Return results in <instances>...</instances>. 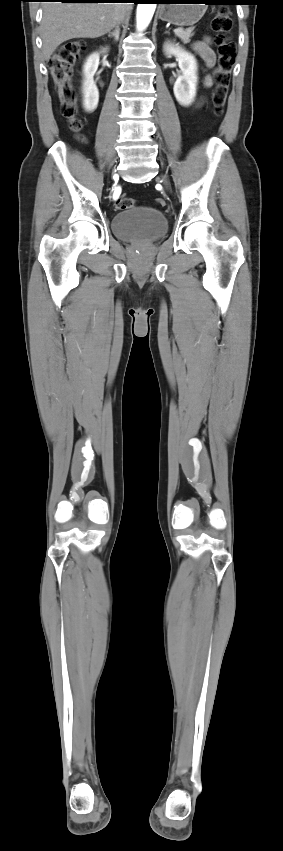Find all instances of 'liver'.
Listing matches in <instances>:
<instances>
[{
	"mask_svg": "<svg viewBox=\"0 0 283 851\" xmlns=\"http://www.w3.org/2000/svg\"><path fill=\"white\" fill-rule=\"evenodd\" d=\"M125 9L128 15L132 5L46 2L41 22L44 60L48 61L57 47L70 39L105 35L115 27L118 16Z\"/></svg>",
	"mask_w": 283,
	"mask_h": 851,
	"instance_id": "1",
	"label": "liver"
}]
</instances>
